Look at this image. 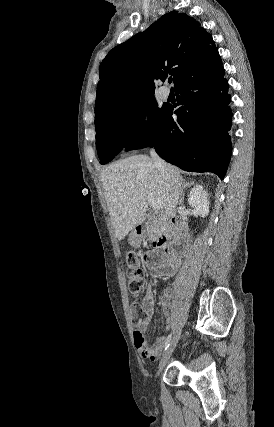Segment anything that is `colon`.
Here are the masks:
<instances>
[{
	"mask_svg": "<svg viewBox=\"0 0 274 427\" xmlns=\"http://www.w3.org/2000/svg\"><path fill=\"white\" fill-rule=\"evenodd\" d=\"M143 257L139 253L131 251L128 256V289L131 294L138 293L144 286L143 269L141 263ZM130 313L132 318L135 320L142 319L144 316V310L140 303L133 302L130 304Z\"/></svg>",
	"mask_w": 274,
	"mask_h": 427,
	"instance_id": "5ec220e1",
	"label": "colon"
}]
</instances>
